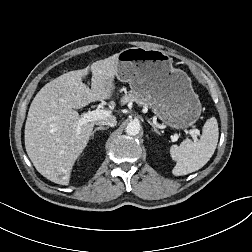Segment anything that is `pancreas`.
<instances>
[{"mask_svg": "<svg viewBox=\"0 0 252 252\" xmlns=\"http://www.w3.org/2000/svg\"><path fill=\"white\" fill-rule=\"evenodd\" d=\"M128 102H136L138 105H146V102L137 94H127L125 96H123V98L121 99V104H126Z\"/></svg>", "mask_w": 252, "mask_h": 252, "instance_id": "pancreas-1", "label": "pancreas"}]
</instances>
